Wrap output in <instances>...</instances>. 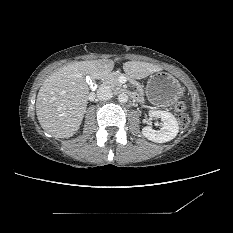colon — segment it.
I'll list each match as a JSON object with an SVG mask.
<instances>
[{"mask_svg": "<svg viewBox=\"0 0 233 233\" xmlns=\"http://www.w3.org/2000/svg\"><path fill=\"white\" fill-rule=\"evenodd\" d=\"M188 106L184 101H178L175 105V111L178 115L180 126L186 127L189 124V116L187 114Z\"/></svg>", "mask_w": 233, "mask_h": 233, "instance_id": "1", "label": "colon"}]
</instances>
